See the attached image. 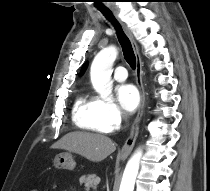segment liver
Returning a JSON list of instances; mask_svg holds the SVG:
<instances>
[{
	"mask_svg": "<svg viewBox=\"0 0 210 191\" xmlns=\"http://www.w3.org/2000/svg\"><path fill=\"white\" fill-rule=\"evenodd\" d=\"M52 148L74 152L90 161L100 162L116 150V145L102 134L70 132L53 144Z\"/></svg>",
	"mask_w": 210,
	"mask_h": 191,
	"instance_id": "liver-1",
	"label": "liver"
}]
</instances>
